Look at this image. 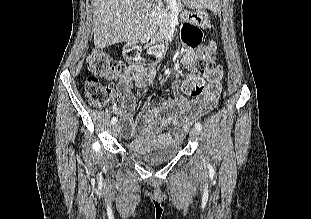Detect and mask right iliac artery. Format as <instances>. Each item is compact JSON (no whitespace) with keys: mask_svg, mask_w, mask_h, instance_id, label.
<instances>
[{"mask_svg":"<svg viewBox=\"0 0 311 219\" xmlns=\"http://www.w3.org/2000/svg\"><path fill=\"white\" fill-rule=\"evenodd\" d=\"M116 122H117V118H116V117H113V118L111 119V124L114 125Z\"/></svg>","mask_w":311,"mask_h":219,"instance_id":"82829eb1","label":"right iliac artery"}]
</instances>
